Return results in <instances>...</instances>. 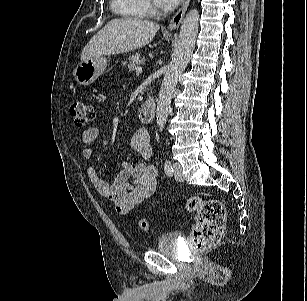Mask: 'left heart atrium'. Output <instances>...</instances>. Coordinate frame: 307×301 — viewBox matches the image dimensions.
I'll use <instances>...</instances> for the list:
<instances>
[{
    "label": "left heart atrium",
    "instance_id": "39dd6f15",
    "mask_svg": "<svg viewBox=\"0 0 307 301\" xmlns=\"http://www.w3.org/2000/svg\"><path fill=\"white\" fill-rule=\"evenodd\" d=\"M181 0H155L156 4L162 9H172L176 7Z\"/></svg>",
    "mask_w": 307,
    "mask_h": 301
}]
</instances>
